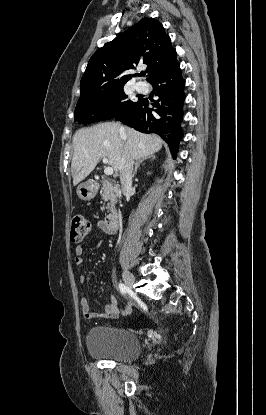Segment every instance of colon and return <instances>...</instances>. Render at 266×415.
<instances>
[{"instance_id":"obj_1","label":"colon","mask_w":266,"mask_h":415,"mask_svg":"<svg viewBox=\"0 0 266 415\" xmlns=\"http://www.w3.org/2000/svg\"><path fill=\"white\" fill-rule=\"evenodd\" d=\"M90 222L83 216H75L71 220L70 239L74 243L81 242L90 232Z\"/></svg>"}]
</instances>
